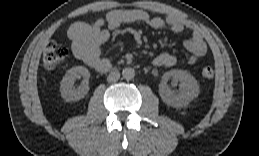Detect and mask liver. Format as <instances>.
<instances>
[{"label":"liver","mask_w":259,"mask_h":156,"mask_svg":"<svg viewBox=\"0 0 259 156\" xmlns=\"http://www.w3.org/2000/svg\"><path fill=\"white\" fill-rule=\"evenodd\" d=\"M43 80H44V82H46L44 77H43Z\"/></svg>","instance_id":"6515ba94"}]
</instances>
